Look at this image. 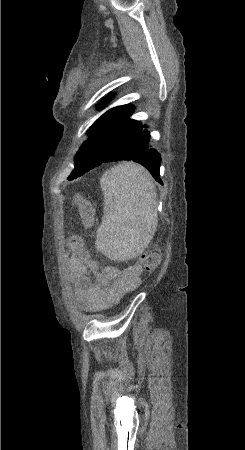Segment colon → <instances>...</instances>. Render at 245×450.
I'll list each match as a JSON object with an SVG mask.
<instances>
[{
	"label": "colon",
	"mask_w": 245,
	"mask_h": 450,
	"mask_svg": "<svg viewBox=\"0 0 245 450\" xmlns=\"http://www.w3.org/2000/svg\"><path fill=\"white\" fill-rule=\"evenodd\" d=\"M73 206L77 210L85 229H89L95 221V205L82 195H76L73 199ZM67 245L77 260H88L89 253L85 247V242L82 235H72L67 240ZM158 264L159 254L156 248H151L144 251L138 258L139 267L145 271H153L156 269Z\"/></svg>",
	"instance_id": "5ec220e1"
}]
</instances>
